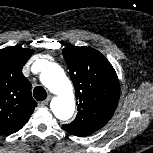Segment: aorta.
<instances>
[{
    "label": "aorta",
    "instance_id": "1",
    "mask_svg": "<svg viewBox=\"0 0 153 153\" xmlns=\"http://www.w3.org/2000/svg\"><path fill=\"white\" fill-rule=\"evenodd\" d=\"M42 84L55 95L50 108L56 118L68 120L75 110L73 86L63 69L56 63L45 62L40 74Z\"/></svg>",
    "mask_w": 153,
    "mask_h": 153
}]
</instances>
